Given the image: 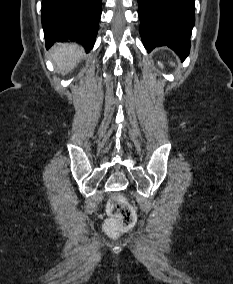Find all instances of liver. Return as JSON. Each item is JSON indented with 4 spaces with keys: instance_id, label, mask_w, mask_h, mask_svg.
Wrapping results in <instances>:
<instances>
[{
    "instance_id": "1",
    "label": "liver",
    "mask_w": 233,
    "mask_h": 284,
    "mask_svg": "<svg viewBox=\"0 0 233 284\" xmlns=\"http://www.w3.org/2000/svg\"><path fill=\"white\" fill-rule=\"evenodd\" d=\"M84 52L77 44H56L51 50V56L61 73L69 72L76 67Z\"/></svg>"
}]
</instances>
